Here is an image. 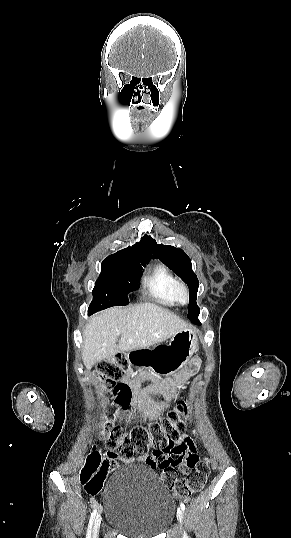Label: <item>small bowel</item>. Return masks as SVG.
<instances>
[{
  "label": "small bowel",
  "instance_id": "obj_1",
  "mask_svg": "<svg viewBox=\"0 0 291 538\" xmlns=\"http://www.w3.org/2000/svg\"><path fill=\"white\" fill-rule=\"evenodd\" d=\"M200 373L199 360L195 356H190L188 363H180L178 369L173 371V378H164L162 380L152 379L151 384L141 388L142 383L147 380L144 374L132 375L128 371L123 379L122 383L128 385L133 393V410L134 414L141 413L148 419L158 418L165 409L177 399L180 390L184 387L187 380L194 376H198ZM153 395H161L164 397V401L157 403L152 399ZM117 417L120 420L130 422L131 415L117 411ZM192 435H196V431L192 430ZM180 441L185 442L192 450L196 452V446L192 436L183 434L180 436ZM150 456L140 457H124L123 461L133 462L142 461L152 468L158 467L150 463ZM188 467L182 465L180 470H185Z\"/></svg>",
  "mask_w": 291,
  "mask_h": 538
}]
</instances>
